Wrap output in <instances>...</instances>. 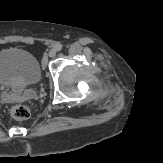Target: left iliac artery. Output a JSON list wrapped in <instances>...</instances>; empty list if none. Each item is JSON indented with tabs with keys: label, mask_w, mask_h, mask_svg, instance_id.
I'll return each instance as SVG.
<instances>
[{
	"label": "left iliac artery",
	"mask_w": 163,
	"mask_h": 163,
	"mask_svg": "<svg viewBox=\"0 0 163 163\" xmlns=\"http://www.w3.org/2000/svg\"><path fill=\"white\" fill-rule=\"evenodd\" d=\"M54 49H55L56 51H60V50L62 49V44L57 43V44L55 45Z\"/></svg>",
	"instance_id": "1"
}]
</instances>
